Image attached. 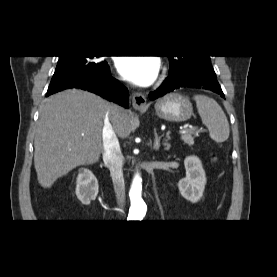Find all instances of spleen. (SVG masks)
<instances>
[{
  "label": "spleen",
  "mask_w": 277,
  "mask_h": 277,
  "mask_svg": "<svg viewBox=\"0 0 277 277\" xmlns=\"http://www.w3.org/2000/svg\"><path fill=\"white\" fill-rule=\"evenodd\" d=\"M194 100L202 122L209 130L211 139L217 143L226 141L230 129L226 115L220 105L205 95H195Z\"/></svg>",
  "instance_id": "obj_1"
}]
</instances>
